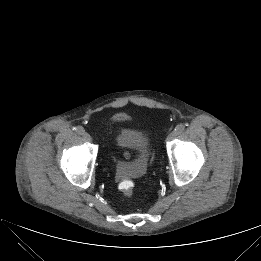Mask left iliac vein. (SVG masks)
<instances>
[{"label": "left iliac vein", "instance_id": "left-iliac-vein-1", "mask_svg": "<svg viewBox=\"0 0 261 261\" xmlns=\"http://www.w3.org/2000/svg\"><path fill=\"white\" fill-rule=\"evenodd\" d=\"M178 136V133L176 131H172L168 136H167V140H173L174 138H176Z\"/></svg>", "mask_w": 261, "mask_h": 261}]
</instances>
